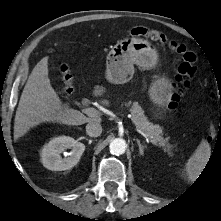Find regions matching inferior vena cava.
<instances>
[{"instance_id":"602c4592","label":"inferior vena cava","mask_w":221,"mask_h":221,"mask_svg":"<svg viewBox=\"0 0 221 221\" xmlns=\"http://www.w3.org/2000/svg\"><path fill=\"white\" fill-rule=\"evenodd\" d=\"M86 133L91 137L100 136L102 133V127L99 122H89L86 125Z\"/></svg>"}]
</instances>
